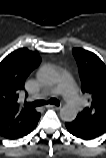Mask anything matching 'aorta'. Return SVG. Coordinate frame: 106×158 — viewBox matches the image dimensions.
Returning a JSON list of instances; mask_svg holds the SVG:
<instances>
[{
  "mask_svg": "<svg viewBox=\"0 0 106 158\" xmlns=\"http://www.w3.org/2000/svg\"><path fill=\"white\" fill-rule=\"evenodd\" d=\"M42 81L48 84H56L58 82V74L52 69H46L42 74ZM77 116V109L74 105L66 104L60 109V117L63 121L71 122Z\"/></svg>",
  "mask_w": 106,
  "mask_h": 158,
  "instance_id": "aorta-1",
  "label": "aorta"
}]
</instances>
